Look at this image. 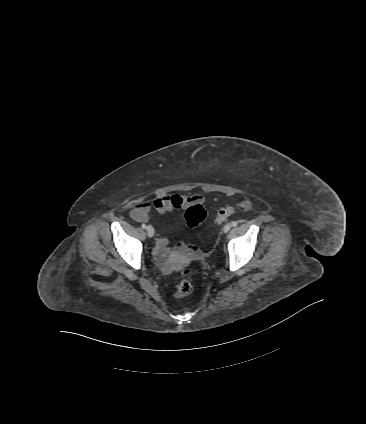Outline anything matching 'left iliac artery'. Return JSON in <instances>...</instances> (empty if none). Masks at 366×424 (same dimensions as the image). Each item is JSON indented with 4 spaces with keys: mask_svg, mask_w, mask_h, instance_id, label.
Returning <instances> with one entry per match:
<instances>
[{
    "mask_svg": "<svg viewBox=\"0 0 366 424\" xmlns=\"http://www.w3.org/2000/svg\"><path fill=\"white\" fill-rule=\"evenodd\" d=\"M237 225H238V222H237V221H233V222H232V226H234V227H235V226H237Z\"/></svg>",
    "mask_w": 366,
    "mask_h": 424,
    "instance_id": "44dca946",
    "label": "left iliac artery"
}]
</instances>
